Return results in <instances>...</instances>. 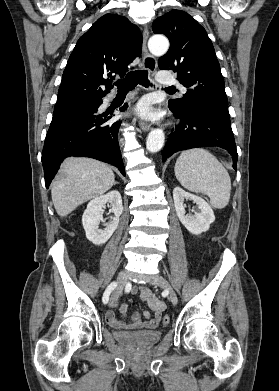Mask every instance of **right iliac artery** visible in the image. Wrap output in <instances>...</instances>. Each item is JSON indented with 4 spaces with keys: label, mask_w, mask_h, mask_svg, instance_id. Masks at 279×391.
<instances>
[{
    "label": "right iliac artery",
    "mask_w": 279,
    "mask_h": 391,
    "mask_svg": "<svg viewBox=\"0 0 279 391\" xmlns=\"http://www.w3.org/2000/svg\"><path fill=\"white\" fill-rule=\"evenodd\" d=\"M116 286H117V283L116 282H112L107 287V289L104 292L103 298H102L103 303H107L108 302L110 293L116 288Z\"/></svg>",
    "instance_id": "1"
}]
</instances>
